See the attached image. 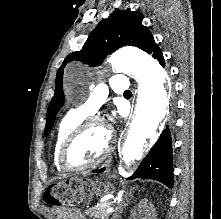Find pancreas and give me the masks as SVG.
<instances>
[{"instance_id":"1","label":"pancreas","mask_w":221,"mask_h":219,"mask_svg":"<svg viewBox=\"0 0 221 219\" xmlns=\"http://www.w3.org/2000/svg\"><path fill=\"white\" fill-rule=\"evenodd\" d=\"M111 202H102L98 203L92 208H89L85 211L86 215H89L93 219H108L110 213L107 211V209L111 206Z\"/></svg>"}]
</instances>
